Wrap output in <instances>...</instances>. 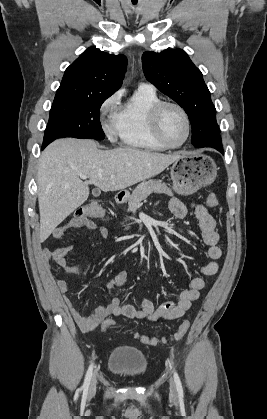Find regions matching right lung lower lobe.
I'll list each match as a JSON object with an SVG mask.
<instances>
[{
  "instance_id": "1",
  "label": "right lung lower lobe",
  "mask_w": 267,
  "mask_h": 419,
  "mask_svg": "<svg viewBox=\"0 0 267 419\" xmlns=\"http://www.w3.org/2000/svg\"><path fill=\"white\" fill-rule=\"evenodd\" d=\"M49 143H50L49 140H44L43 145H42V149H44Z\"/></svg>"
}]
</instances>
